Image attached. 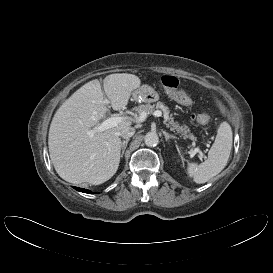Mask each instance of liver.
I'll use <instances>...</instances> for the list:
<instances>
[{"label": "liver", "mask_w": 273, "mask_h": 273, "mask_svg": "<svg viewBox=\"0 0 273 273\" xmlns=\"http://www.w3.org/2000/svg\"><path fill=\"white\" fill-rule=\"evenodd\" d=\"M141 80L128 73L110 74L103 80L111 107L124 109ZM108 111L99 80H92L73 93L55 113L48 136L50 158L58 175L67 182L99 185L109 180L120 162L118 132L131 127L123 117L117 126L91 133Z\"/></svg>", "instance_id": "liver-1"}]
</instances>
